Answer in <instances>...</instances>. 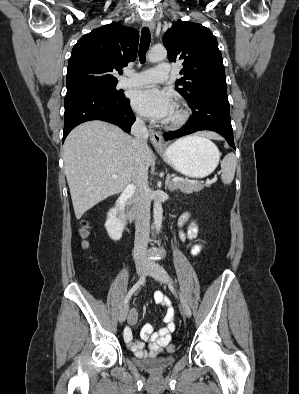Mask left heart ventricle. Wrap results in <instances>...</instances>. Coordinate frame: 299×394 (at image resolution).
<instances>
[{
    "label": "left heart ventricle",
    "mask_w": 299,
    "mask_h": 394,
    "mask_svg": "<svg viewBox=\"0 0 299 394\" xmlns=\"http://www.w3.org/2000/svg\"><path fill=\"white\" fill-rule=\"evenodd\" d=\"M177 115V109L174 107L173 112L171 113L170 117L168 119H172Z\"/></svg>",
    "instance_id": "left-heart-ventricle-1"
}]
</instances>
